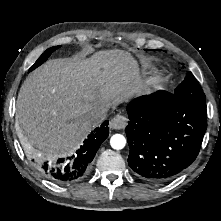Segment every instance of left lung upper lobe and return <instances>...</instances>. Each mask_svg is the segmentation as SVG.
I'll return each mask as SVG.
<instances>
[{"instance_id":"left-lung-upper-lobe-1","label":"left lung upper lobe","mask_w":221,"mask_h":221,"mask_svg":"<svg viewBox=\"0 0 221 221\" xmlns=\"http://www.w3.org/2000/svg\"><path fill=\"white\" fill-rule=\"evenodd\" d=\"M174 93L178 97L205 101V94L191 72H188L184 81L177 86Z\"/></svg>"}]
</instances>
